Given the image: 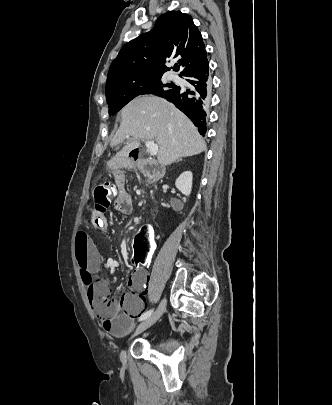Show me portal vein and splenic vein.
I'll return each instance as SVG.
<instances>
[{
  "instance_id": "obj_1",
  "label": "portal vein and splenic vein",
  "mask_w": 332,
  "mask_h": 405,
  "mask_svg": "<svg viewBox=\"0 0 332 405\" xmlns=\"http://www.w3.org/2000/svg\"><path fill=\"white\" fill-rule=\"evenodd\" d=\"M145 146L148 149L151 156H156L158 152V145L153 141L145 142Z\"/></svg>"
}]
</instances>
